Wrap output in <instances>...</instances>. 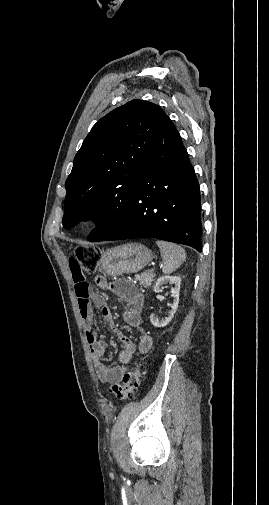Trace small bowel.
I'll return each instance as SVG.
<instances>
[{
	"label": "small bowel",
	"instance_id": "obj_1",
	"mask_svg": "<svg viewBox=\"0 0 269 505\" xmlns=\"http://www.w3.org/2000/svg\"><path fill=\"white\" fill-rule=\"evenodd\" d=\"M67 265L72 272L75 283V292L79 304L80 315L84 323L86 339L94 360L97 376L99 380L105 384L113 385L119 383L128 370L127 364L132 356L134 354L147 353L153 345L152 337L145 333L142 328L141 313L144 305V298L134 285L127 280H118L109 284L102 276H98L95 279L96 284L100 288L109 289L125 301L126 309L123 313L125 322L143 333L136 347L128 337L114 328L113 314L105 299L99 295L90 293L89 284L86 279H92L95 273L83 274L78 259H70ZM91 302H93L96 307L101 308V313L105 322L112 328L123 347L118 359V364L114 367H109L102 360L107 346L104 341L98 338L96 330L93 327Z\"/></svg>",
	"mask_w": 269,
	"mask_h": 505
}]
</instances>
